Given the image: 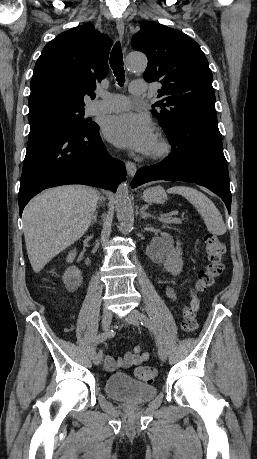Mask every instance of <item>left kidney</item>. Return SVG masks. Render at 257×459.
I'll return each instance as SVG.
<instances>
[{
	"instance_id": "5707ae66",
	"label": "left kidney",
	"mask_w": 257,
	"mask_h": 459,
	"mask_svg": "<svg viewBox=\"0 0 257 459\" xmlns=\"http://www.w3.org/2000/svg\"><path fill=\"white\" fill-rule=\"evenodd\" d=\"M181 243L177 241V248L175 249L172 244H168L165 249L164 268L173 275H178L182 272V250Z\"/></svg>"
}]
</instances>
